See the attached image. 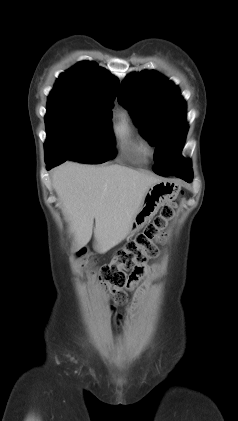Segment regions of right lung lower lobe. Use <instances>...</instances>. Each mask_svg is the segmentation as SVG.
Returning <instances> with one entry per match:
<instances>
[{"label":"right lung lower lobe","mask_w":238,"mask_h":421,"mask_svg":"<svg viewBox=\"0 0 238 421\" xmlns=\"http://www.w3.org/2000/svg\"><path fill=\"white\" fill-rule=\"evenodd\" d=\"M64 162L63 159H52V160H46L47 164V170H50L52 167Z\"/></svg>","instance_id":"obj_1"}]
</instances>
